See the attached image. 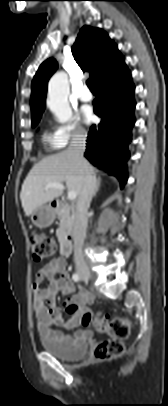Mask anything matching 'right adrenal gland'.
I'll list each match as a JSON object with an SVG mask.
<instances>
[{
  "mask_svg": "<svg viewBox=\"0 0 168 406\" xmlns=\"http://www.w3.org/2000/svg\"><path fill=\"white\" fill-rule=\"evenodd\" d=\"M100 184H101V178L98 177V178L96 179V186H95V191H94L93 197L96 196V194H97V192H98V190H99V188H100Z\"/></svg>",
  "mask_w": 168,
  "mask_h": 406,
  "instance_id": "1",
  "label": "right adrenal gland"
}]
</instances>
